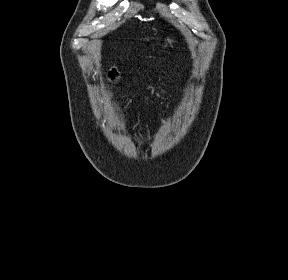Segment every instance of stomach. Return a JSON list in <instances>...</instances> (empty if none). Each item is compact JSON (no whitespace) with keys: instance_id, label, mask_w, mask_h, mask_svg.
Listing matches in <instances>:
<instances>
[{"instance_id":"1","label":"stomach","mask_w":288,"mask_h":280,"mask_svg":"<svg viewBox=\"0 0 288 280\" xmlns=\"http://www.w3.org/2000/svg\"><path fill=\"white\" fill-rule=\"evenodd\" d=\"M173 40L172 39H167V43H169L170 45L172 44Z\"/></svg>"}]
</instances>
